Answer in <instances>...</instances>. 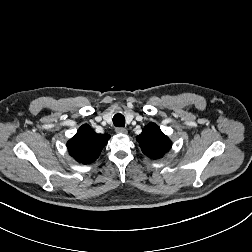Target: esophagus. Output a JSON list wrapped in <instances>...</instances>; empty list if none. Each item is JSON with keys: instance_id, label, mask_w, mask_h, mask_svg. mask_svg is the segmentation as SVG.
<instances>
[{"instance_id": "esophagus-1", "label": "esophagus", "mask_w": 252, "mask_h": 252, "mask_svg": "<svg viewBox=\"0 0 252 252\" xmlns=\"http://www.w3.org/2000/svg\"><path fill=\"white\" fill-rule=\"evenodd\" d=\"M115 131H116L117 134H126L127 133V130L125 128H122V127L116 128Z\"/></svg>"}]
</instances>
